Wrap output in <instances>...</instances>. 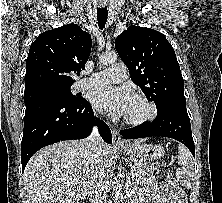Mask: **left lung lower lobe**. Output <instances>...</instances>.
<instances>
[{"label": "left lung lower lobe", "mask_w": 222, "mask_h": 203, "mask_svg": "<svg viewBox=\"0 0 222 203\" xmlns=\"http://www.w3.org/2000/svg\"><path fill=\"white\" fill-rule=\"evenodd\" d=\"M157 117L151 123L121 130L125 139L162 136L176 139L186 145L195 157V147L186 103L173 101L157 109Z\"/></svg>", "instance_id": "1"}]
</instances>
